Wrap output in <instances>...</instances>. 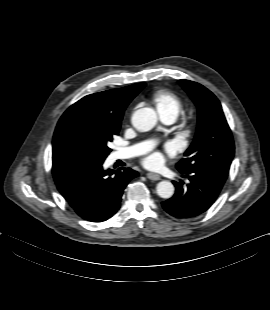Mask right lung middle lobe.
Wrapping results in <instances>:
<instances>
[{"instance_id": "right-lung-middle-lobe-1", "label": "right lung middle lobe", "mask_w": 270, "mask_h": 310, "mask_svg": "<svg viewBox=\"0 0 270 310\" xmlns=\"http://www.w3.org/2000/svg\"><path fill=\"white\" fill-rule=\"evenodd\" d=\"M119 129L104 123L91 110L77 113L69 125V141L75 160L103 163L111 151L108 143L118 135Z\"/></svg>"}]
</instances>
